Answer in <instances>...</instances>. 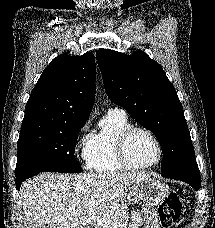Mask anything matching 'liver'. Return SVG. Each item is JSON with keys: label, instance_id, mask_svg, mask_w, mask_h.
I'll return each instance as SVG.
<instances>
[{"label": "liver", "instance_id": "6515ba94", "mask_svg": "<svg viewBox=\"0 0 215 228\" xmlns=\"http://www.w3.org/2000/svg\"><path fill=\"white\" fill-rule=\"evenodd\" d=\"M144 178L143 172L39 174L19 194L31 228H126V192Z\"/></svg>", "mask_w": 215, "mask_h": 228}]
</instances>
